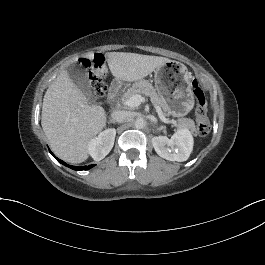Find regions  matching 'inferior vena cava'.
I'll return each mask as SVG.
<instances>
[{"instance_id":"obj_1","label":"inferior vena cava","mask_w":265,"mask_h":265,"mask_svg":"<svg viewBox=\"0 0 265 265\" xmlns=\"http://www.w3.org/2000/svg\"><path fill=\"white\" fill-rule=\"evenodd\" d=\"M111 117L115 122H126L131 118V113L128 111L118 110L113 111Z\"/></svg>"}]
</instances>
